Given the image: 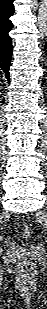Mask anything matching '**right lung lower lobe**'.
I'll use <instances>...</instances> for the list:
<instances>
[{"mask_svg": "<svg viewBox=\"0 0 47 309\" xmlns=\"http://www.w3.org/2000/svg\"><path fill=\"white\" fill-rule=\"evenodd\" d=\"M14 0H0V68L9 80V67L12 57V40L9 32L13 24L10 17L14 14Z\"/></svg>", "mask_w": 47, "mask_h": 309, "instance_id": "1", "label": "right lung lower lobe"}]
</instances>
